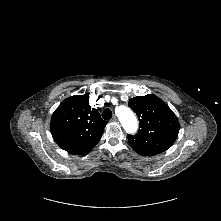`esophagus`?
Masks as SVG:
<instances>
[{
    "label": "esophagus",
    "mask_w": 221,
    "mask_h": 221,
    "mask_svg": "<svg viewBox=\"0 0 221 221\" xmlns=\"http://www.w3.org/2000/svg\"><path fill=\"white\" fill-rule=\"evenodd\" d=\"M111 121H112V122H116V121H117V117H116V116H113V117L111 118Z\"/></svg>",
    "instance_id": "1"
}]
</instances>
